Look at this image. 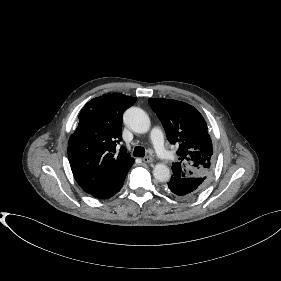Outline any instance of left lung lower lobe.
<instances>
[{"instance_id": "1", "label": "left lung lower lobe", "mask_w": 281, "mask_h": 281, "mask_svg": "<svg viewBox=\"0 0 281 281\" xmlns=\"http://www.w3.org/2000/svg\"><path fill=\"white\" fill-rule=\"evenodd\" d=\"M205 177L197 178H171L167 184L168 192L181 198H191L199 193L205 186Z\"/></svg>"}]
</instances>
